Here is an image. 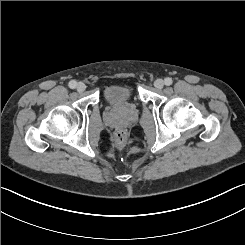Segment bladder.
<instances>
[{
  "label": "bladder",
  "instance_id": "obj_1",
  "mask_svg": "<svg viewBox=\"0 0 245 245\" xmlns=\"http://www.w3.org/2000/svg\"><path fill=\"white\" fill-rule=\"evenodd\" d=\"M134 92V87L129 85H106L104 87V97L106 101L114 105L119 98L125 97Z\"/></svg>",
  "mask_w": 245,
  "mask_h": 245
}]
</instances>
